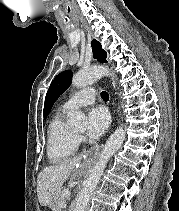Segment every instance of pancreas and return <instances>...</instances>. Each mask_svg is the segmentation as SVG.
Masks as SVG:
<instances>
[{
    "instance_id": "pancreas-1",
    "label": "pancreas",
    "mask_w": 179,
    "mask_h": 211,
    "mask_svg": "<svg viewBox=\"0 0 179 211\" xmlns=\"http://www.w3.org/2000/svg\"><path fill=\"white\" fill-rule=\"evenodd\" d=\"M64 191H69L68 188H63L60 190L54 197V200L51 204V207L54 209V211H60L62 204L65 202V198L62 197V193Z\"/></svg>"
}]
</instances>
